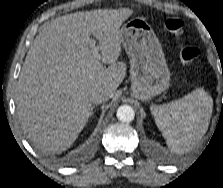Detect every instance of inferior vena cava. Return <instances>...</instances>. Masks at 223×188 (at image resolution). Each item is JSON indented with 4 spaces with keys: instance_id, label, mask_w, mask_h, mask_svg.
I'll return each mask as SVG.
<instances>
[{
    "instance_id": "inferior-vena-cava-1",
    "label": "inferior vena cava",
    "mask_w": 223,
    "mask_h": 188,
    "mask_svg": "<svg viewBox=\"0 0 223 188\" xmlns=\"http://www.w3.org/2000/svg\"><path fill=\"white\" fill-rule=\"evenodd\" d=\"M109 99V93L103 89H96L91 92L90 100L94 104L106 102Z\"/></svg>"
}]
</instances>
